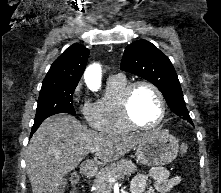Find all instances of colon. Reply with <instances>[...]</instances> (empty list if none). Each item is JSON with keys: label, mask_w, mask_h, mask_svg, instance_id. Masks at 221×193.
<instances>
[{"label": "colon", "mask_w": 221, "mask_h": 193, "mask_svg": "<svg viewBox=\"0 0 221 193\" xmlns=\"http://www.w3.org/2000/svg\"><path fill=\"white\" fill-rule=\"evenodd\" d=\"M187 151H188V146L186 144H182L181 153L185 154ZM71 180H72L73 184H77L78 178L74 174V175L71 176ZM72 193H75V192L73 191Z\"/></svg>", "instance_id": "1"}]
</instances>
